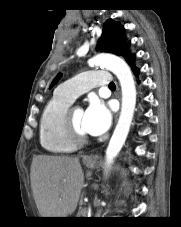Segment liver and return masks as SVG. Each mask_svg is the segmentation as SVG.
<instances>
[{"mask_svg":"<svg viewBox=\"0 0 181 227\" xmlns=\"http://www.w3.org/2000/svg\"><path fill=\"white\" fill-rule=\"evenodd\" d=\"M30 179L42 217H68L76 210L84 184L78 157L36 156L31 164Z\"/></svg>","mask_w":181,"mask_h":227,"instance_id":"6515ba94","label":"liver"}]
</instances>
